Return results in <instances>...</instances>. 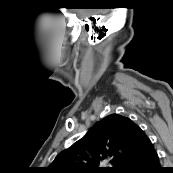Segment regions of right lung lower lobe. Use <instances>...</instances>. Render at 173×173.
<instances>
[{
    "instance_id": "right-lung-lower-lobe-1",
    "label": "right lung lower lobe",
    "mask_w": 173,
    "mask_h": 173,
    "mask_svg": "<svg viewBox=\"0 0 173 173\" xmlns=\"http://www.w3.org/2000/svg\"><path fill=\"white\" fill-rule=\"evenodd\" d=\"M119 173H164L154 147L129 160Z\"/></svg>"
}]
</instances>
